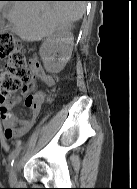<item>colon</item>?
I'll return each mask as SVG.
<instances>
[{
  "instance_id": "obj_1",
  "label": "colon",
  "mask_w": 137,
  "mask_h": 189,
  "mask_svg": "<svg viewBox=\"0 0 137 189\" xmlns=\"http://www.w3.org/2000/svg\"><path fill=\"white\" fill-rule=\"evenodd\" d=\"M0 61L5 63L0 72V104L22 91L26 94L25 105L32 107L35 100L30 93L33 88L31 72L39 62L27 59L18 41L4 32H0Z\"/></svg>"
}]
</instances>
